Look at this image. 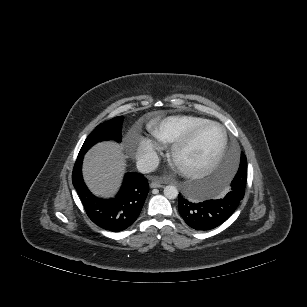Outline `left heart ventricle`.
Returning a JSON list of instances; mask_svg holds the SVG:
<instances>
[{"label": "left heart ventricle", "mask_w": 307, "mask_h": 307, "mask_svg": "<svg viewBox=\"0 0 307 307\" xmlns=\"http://www.w3.org/2000/svg\"><path fill=\"white\" fill-rule=\"evenodd\" d=\"M222 142L218 127L203 129L194 141L177 157L176 164L181 168H198L207 164L215 155Z\"/></svg>", "instance_id": "obj_1"}]
</instances>
